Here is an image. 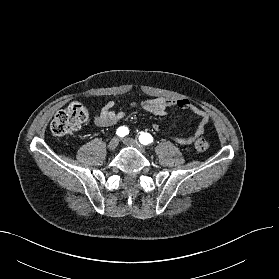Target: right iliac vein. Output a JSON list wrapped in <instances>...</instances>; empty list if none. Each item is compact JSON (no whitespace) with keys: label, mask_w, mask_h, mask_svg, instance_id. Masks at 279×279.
<instances>
[{"label":"right iliac vein","mask_w":279,"mask_h":279,"mask_svg":"<svg viewBox=\"0 0 279 279\" xmlns=\"http://www.w3.org/2000/svg\"><path fill=\"white\" fill-rule=\"evenodd\" d=\"M119 144V139L118 138H113L111 141L108 143V149L113 151L117 148Z\"/></svg>","instance_id":"63e3f726"}]
</instances>
